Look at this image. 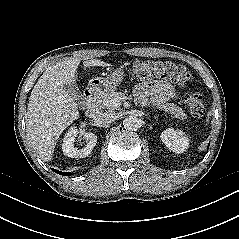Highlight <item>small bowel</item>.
I'll return each mask as SVG.
<instances>
[{
	"mask_svg": "<svg viewBox=\"0 0 239 239\" xmlns=\"http://www.w3.org/2000/svg\"><path fill=\"white\" fill-rule=\"evenodd\" d=\"M135 95L143 103L150 98L153 105H159L173 100L177 93L168 82L155 80L138 84L135 88Z\"/></svg>",
	"mask_w": 239,
	"mask_h": 239,
	"instance_id": "small-bowel-1",
	"label": "small bowel"
}]
</instances>
